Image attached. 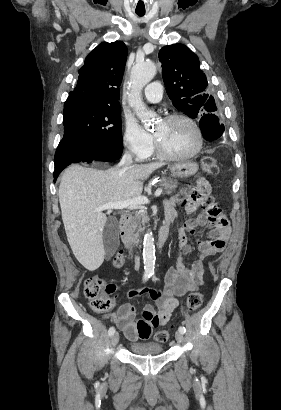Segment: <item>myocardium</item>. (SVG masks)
<instances>
[{
	"instance_id": "1",
	"label": "myocardium",
	"mask_w": 281,
	"mask_h": 410,
	"mask_svg": "<svg viewBox=\"0 0 281 410\" xmlns=\"http://www.w3.org/2000/svg\"><path fill=\"white\" fill-rule=\"evenodd\" d=\"M173 120H184L193 127V129L196 132V136H197L196 148L193 151L186 153V154H172L168 152L161 145L158 138L154 135V146H155L157 154L163 159H167V160H184V159L193 158L198 153H200V151L203 148L204 137H203V133H202L200 126L192 117H190L189 115L183 114V113H172L163 118V121L165 122H169Z\"/></svg>"
}]
</instances>
